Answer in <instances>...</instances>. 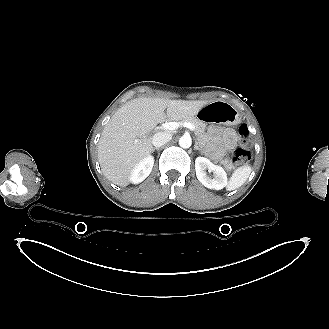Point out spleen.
Instances as JSON below:
<instances>
[{"instance_id": "1", "label": "spleen", "mask_w": 329, "mask_h": 329, "mask_svg": "<svg viewBox=\"0 0 329 329\" xmlns=\"http://www.w3.org/2000/svg\"><path fill=\"white\" fill-rule=\"evenodd\" d=\"M251 171L252 168L248 165L236 169L230 178L227 190L232 191L242 186L250 176Z\"/></svg>"}]
</instances>
